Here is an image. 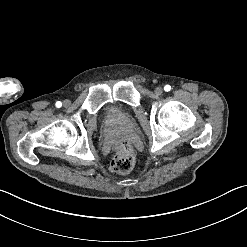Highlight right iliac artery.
<instances>
[{
	"instance_id": "obj_1",
	"label": "right iliac artery",
	"mask_w": 247,
	"mask_h": 247,
	"mask_svg": "<svg viewBox=\"0 0 247 247\" xmlns=\"http://www.w3.org/2000/svg\"><path fill=\"white\" fill-rule=\"evenodd\" d=\"M55 105H56L57 108H60L62 106V103L60 101H58V102H56Z\"/></svg>"
}]
</instances>
